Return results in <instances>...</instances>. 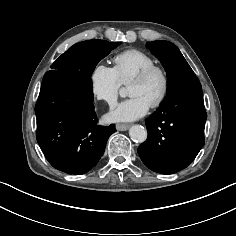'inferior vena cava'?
Masks as SVG:
<instances>
[{
    "mask_svg": "<svg viewBox=\"0 0 236 236\" xmlns=\"http://www.w3.org/2000/svg\"><path fill=\"white\" fill-rule=\"evenodd\" d=\"M115 107V105H111V108H114Z\"/></svg>",
    "mask_w": 236,
    "mask_h": 236,
    "instance_id": "inferior-vena-cava-1",
    "label": "inferior vena cava"
}]
</instances>
